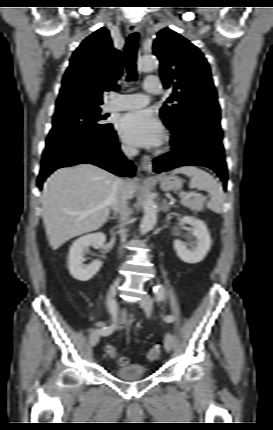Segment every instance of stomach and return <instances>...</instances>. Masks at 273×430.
Masks as SVG:
<instances>
[{"instance_id":"0dacf381","label":"stomach","mask_w":273,"mask_h":430,"mask_svg":"<svg viewBox=\"0 0 273 430\" xmlns=\"http://www.w3.org/2000/svg\"><path fill=\"white\" fill-rule=\"evenodd\" d=\"M160 187L164 191L179 190L182 186V180L177 176H160L158 177Z\"/></svg>"}]
</instances>
